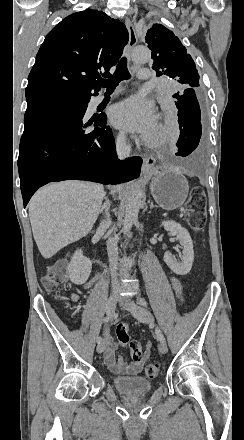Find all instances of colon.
I'll return each mask as SVG.
<instances>
[{"instance_id":"obj_1","label":"colon","mask_w":244,"mask_h":440,"mask_svg":"<svg viewBox=\"0 0 244 440\" xmlns=\"http://www.w3.org/2000/svg\"><path fill=\"white\" fill-rule=\"evenodd\" d=\"M187 218L192 230L200 231L203 229L206 222V200L202 187H195L191 193ZM68 269L69 265L64 261L50 265L41 281L44 288L51 293H55L62 286ZM126 327L125 324H119L116 328L117 341L121 346H126L129 343V337L125 333ZM129 346L132 362H141L143 360V351L140 342L131 341ZM159 372L160 365L157 362L147 363L144 367V374L148 379H155Z\"/></svg>"}]
</instances>
